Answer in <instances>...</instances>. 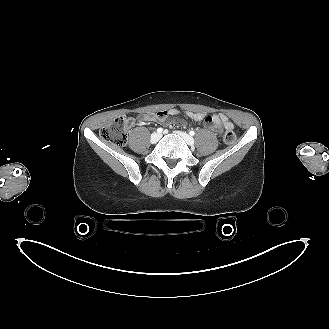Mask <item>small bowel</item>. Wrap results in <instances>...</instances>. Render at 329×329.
<instances>
[{"label": "small bowel", "instance_id": "1", "mask_svg": "<svg viewBox=\"0 0 329 329\" xmlns=\"http://www.w3.org/2000/svg\"><path fill=\"white\" fill-rule=\"evenodd\" d=\"M179 114L177 109H167L160 111L157 115L145 113L140 115V119L143 121H159L163 124L171 122V117ZM187 117L195 122H204L205 125L218 135H222L224 131H231L234 128L233 123L229 118L222 113L207 115L203 113L187 112Z\"/></svg>", "mask_w": 329, "mask_h": 329}]
</instances>
